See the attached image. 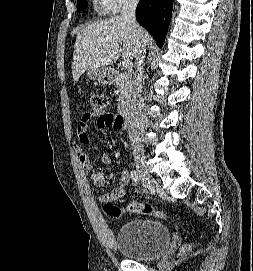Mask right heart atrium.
Instances as JSON below:
<instances>
[{
    "label": "right heart atrium",
    "mask_w": 253,
    "mask_h": 271,
    "mask_svg": "<svg viewBox=\"0 0 253 271\" xmlns=\"http://www.w3.org/2000/svg\"><path fill=\"white\" fill-rule=\"evenodd\" d=\"M102 10L107 13H117L123 5L135 3L138 0H97Z\"/></svg>",
    "instance_id": "obj_1"
}]
</instances>
